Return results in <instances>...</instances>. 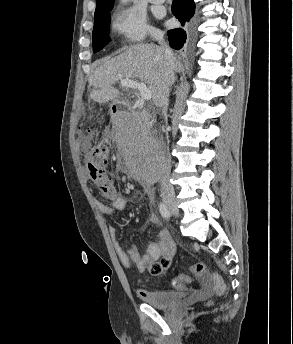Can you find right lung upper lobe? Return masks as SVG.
<instances>
[{
    "instance_id": "1",
    "label": "right lung upper lobe",
    "mask_w": 293,
    "mask_h": 344,
    "mask_svg": "<svg viewBox=\"0 0 293 344\" xmlns=\"http://www.w3.org/2000/svg\"><path fill=\"white\" fill-rule=\"evenodd\" d=\"M114 3V0H96V10Z\"/></svg>"
}]
</instances>
